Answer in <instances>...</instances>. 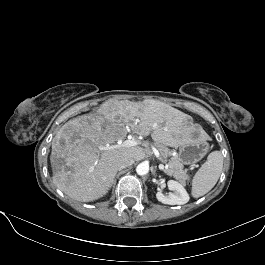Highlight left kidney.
<instances>
[{"label":"left kidney","mask_w":265,"mask_h":265,"mask_svg":"<svg viewBox=\"0 0 265 265\" xmlns=\"http://www.w3.org/2000/svg\"><path fill=\"white\" fill-rule=\"evenodd\" d=\"M167 185L169 190L174 191V193L164 195L161 191H159L156 193V198L158 201L168 205H183L189 201V195L186 189L179 182L169 180Z\"/></svg>","instance_id":"obj_1"}]
</instances>
